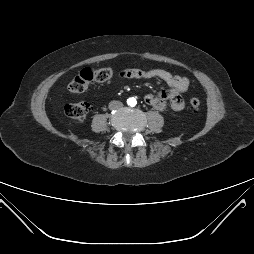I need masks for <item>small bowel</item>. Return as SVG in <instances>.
<instances>
[{
    "label": "small bowel",
    "instance_id": "obj_1",
    "mask_svg": "<svg viewBox=\"0 0 254 254\" xmlns=\"http://www.w3.org/2000/svg\"><path fill=\"white\" fill-rule=\"evenodd\" d=\"M121 78L128 79H159L169 86V90L157 94H147L145 102L156 110H165L168 103L175 112L181 111L185 106L182 93L189 87V80L180 75H174L164 69H125L119 73Z\"/></svg>",
    "mask_w": 254,
    "mask_h": 254
}]
</instances>
